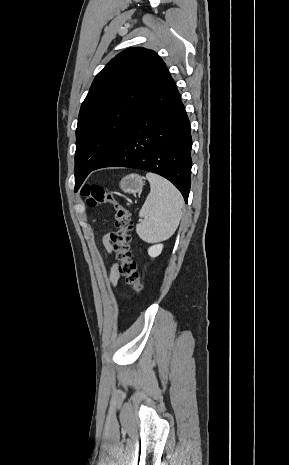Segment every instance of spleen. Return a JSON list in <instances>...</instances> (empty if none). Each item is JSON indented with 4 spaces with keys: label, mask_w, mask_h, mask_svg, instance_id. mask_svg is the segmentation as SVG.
Wrapping results in <instances>:
<instances>
[{
    "label": "spleen",
    "mask_w": 289,
    "mask_h": 465,
    "mask_svg": "<svg viewBox=\"0 0 289 465\" xmlns=\"http://www.w3.org/2000/svg\"><path fill=\"white\" fill-rule=\"evenodd\" d=\"M150 193L139 211L138 236L145 242L167 240L176 231L182 216L183 197L165 178L148 173Z\"/></svg>",
    "instance_id": "3e777b00"
}]
</instances>
